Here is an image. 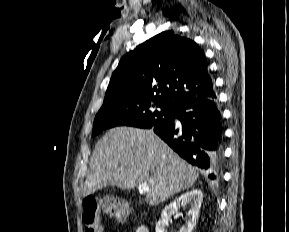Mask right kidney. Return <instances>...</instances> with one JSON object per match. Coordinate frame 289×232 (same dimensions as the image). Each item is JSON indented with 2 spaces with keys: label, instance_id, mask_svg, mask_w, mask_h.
<instances>
[{
  "label": "right kidney",
  "instance_id": "1",
  "mask_svg": "<svg viewBox=\"0 0 289 232\" xmlns=\"http://www.w3.org/2000/svg\"><path fill=\"white\" fill-rule=\"evenodd\" d=\"M202 201L203 194L198 189H192L182 194L163 209L161 219L156 224V232H167L166 228L171 216L178 213L180 207H185L186 205H189L188 218L186 224L181 227L179 232H192L199 216Z\"/></svg>",
  "mask_w": 289,
  "mask_h": 232
}]
</instances>
